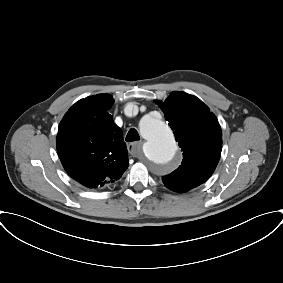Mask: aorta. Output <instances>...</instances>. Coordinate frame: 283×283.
Masks as SVG:
<instances>
[{
	"label": "aorta",
	"mask_w": 283,
	"mask_h": 283,
	"mask_svg": "<svg viewBox=\"0 0 283 283\" xmlns=\"http://www.w3.org/2000/svg\"><path fill=\"white\" fill-rule=\"evenodd\" d=\"M140 131L145 139L143 152L151 164L158 170L171 165L177 145L172 130L156 118L142 120Z\"/></svg>",
	"instance_id": "1"
}]
</instances>
